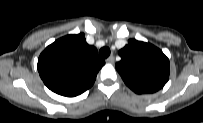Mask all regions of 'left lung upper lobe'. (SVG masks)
I'll list each match as a JSON object with an SVG mask.
<instances>
[{"label":"left lung upper lobe","mask_w":203,"mask_h":123,"mask_svg":"<svg viewBox=\"0 0 203 123\" xmlns=\"http://www.w3.org/2000/svg\"><path fill=\"white\" fill-rule=\"evenodd\" d=\"M119 55L116 69L135 93H154L168 81L169 59L154 45L130 39Z\"/></svg>","instance_id":"left-lung-upper-lobe-1"}]
</instances>
